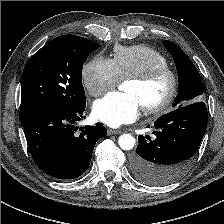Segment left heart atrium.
<instances>
[{
  "label": "left heart atrium",
  "mask_w": 224,
  "mask_h": 224,
  "mask_svg": "<svg viewBox=\"0 0 224 224\" xmlns=\"http://www.w3.org/2000/svg\"><path fill=\"white\" fill-rule=\"evenodd\" d=\"M142 104L139 98L128 92H111L95 101V117L111 127H119L137 119Z\"/></svg>",
  "instance_id": "left-heart-atrium-1"
}]
</instances>
